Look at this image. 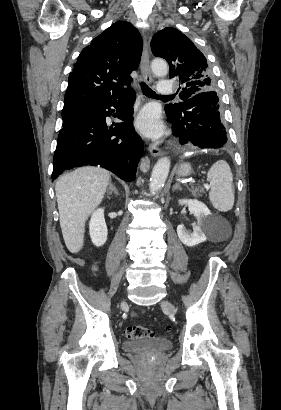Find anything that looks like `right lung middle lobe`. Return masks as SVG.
Wrapping results in <instances>:
<instances>
[{"label":"right lung middle lobe","instance_id":"right-lung-middle-lobe-1","mask_svg":"<svg viewBox=\"0 0 281 410\" xmlns=\"http://www.w3.org/2000/svg\"><path fill=\"white\" fill-rule=\"evenodd\" d=\"M93 107H71L62 110L63 125L69 124L72 121L88 113Z\"/></svg>","mask_w":281,"mask_h":410}]
</instances>
